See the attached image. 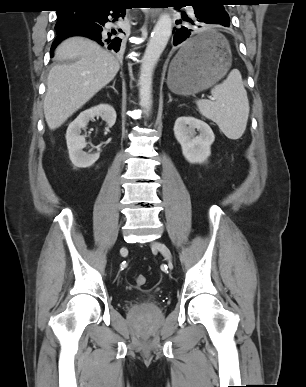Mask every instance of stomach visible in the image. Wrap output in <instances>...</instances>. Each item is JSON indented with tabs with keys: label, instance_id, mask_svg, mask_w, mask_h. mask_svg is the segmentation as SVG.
I'll return each instance as SVG.
<instances>
[{
	"label": "stomach",
	"instance_id": "1",
	"mask_svg": "<svg viewBox=\"0 0 306 387\" xmlns=\"http://www.w3.org/2000/svg\"><path fill=\"white\" fill-rule=\"evenodd\" d=\"M211 36L213 43L206 54L184 60L181 50L169 66L167 84L180 95H194L218 82L229 70L232 55L227 40L216 32L206 31L196 35L192 41Z\"/></svg>",
	"mask_w": 306,
	"mask_h": 387
}]
</instances>
